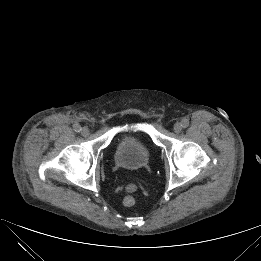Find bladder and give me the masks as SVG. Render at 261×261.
I'll list each match as a JSON object with an SVG mask.
<instances>
[{"mask_svg": "<svg viewBox=\"0 0 261 261\" xmlns=\"http://www.w3.org/2000/svg\"><path fill=\"white\" fill-rule=\"evenodd\" d=\"M149 158V147L141 133L122 132L119 134L114 160L118 166L126 170L141 169Z\"/></svg>", "mask_w": 261, "mask_h": 261, "instance_id": "1", "label": "bladder"}]
</instances>
